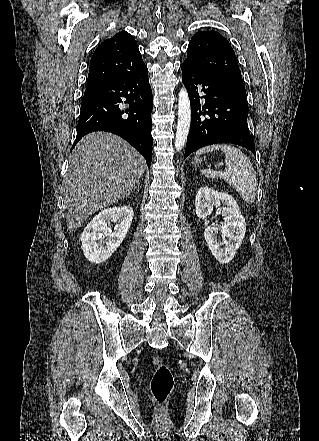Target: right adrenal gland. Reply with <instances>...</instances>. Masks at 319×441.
Instances as JSON below:
<instances>
[{
    "label": "right adrenal gland",
    "mask_w": 319,
    "mask_h": 441,
    "mask_svg": "<svg viewBox=\"0 0 319 441\" xmlns=\"http://www.w3.org/2000/svg\"><path fill=\"white\" fill-rule=\"evenodd\" d=\"M139 188H140V182L138 181L136 184V187L134 188V190H136V192H139Z\"/></svg>",
    "instance_id": "obj_1"
}]
</instances>
